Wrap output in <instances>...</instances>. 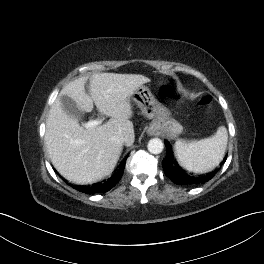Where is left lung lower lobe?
I'll use <instances>...</instances> for the list:
<instances>
[{
    "label": "left lung lower lobe",
    "mask_w": 264,
    "mask_h": 264,
    "mask_svg": "<svg viewBox=\"0 0 264 264\" xmlns=\"http://www.w3.org/2000/svg\"><path fill=\"white\" fill-rule=\"evenodd\" d=\"M165 146L167 149V154L162 161V166L164 173L168 178H170L174 183L181 185H197L209 181L216 174L218 169L202 176H194L185 172L173 159V155L170 151V147L167 141H165ZM227 156L224 158L221 165L226 161Z\"/></svg>",
    "instance_id": "0a47b994"
}]
</instances>
